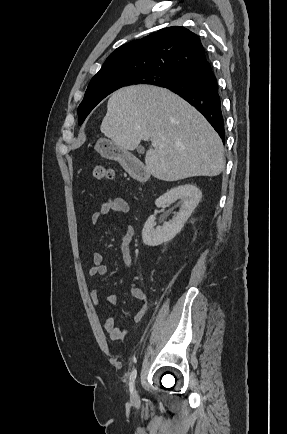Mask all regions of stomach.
Here are the masks:
<instances>
[{"instance_id": "0dacf381", "label": "stomach", "mask_w": 287, "mask_h": 434, "mask_svg": "<svg viewBox=\"0 0 287 434\" xmlns=\"http://www.w3.org/2000/svg\"><path fill=\"white\" fill-rule=\"evenodd\" d=\"M96 150L104 157L110 160L118 161L124 167H128V162L132 155L127 150L121 148L113 141L99 139L96 144Z\"/></svg>"}]
</instances>
